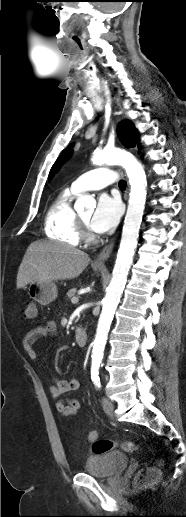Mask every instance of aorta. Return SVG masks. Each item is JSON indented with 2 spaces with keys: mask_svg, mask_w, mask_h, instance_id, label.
I'll return each instance as SVG.
<instances>
[{
  "mask_svg": "<svg viewBox=\"0 0 186 517\" xmlns=\"http://www.w3.org/2000/svg\"><path fill=\"white\" fill-rule=\"evenodd\" d=\"M94 165L120 164L126 171L130 183L127 213L124 220L120 247L107 293L102 302V311L92 348V370H97L102 362L108 332L115 310L123 293L128 272L132 264L140 224L145 208L147 180L143 166L129 152L118 148H105L92 156ZM94 202L90 195H80L76 207L84 208Z\"/></svg>",
  "mask_w": 186,
  "mask_h": 517,
  "instance_id": "obj_1",
  "label": "aorta"
}]
</instances>
